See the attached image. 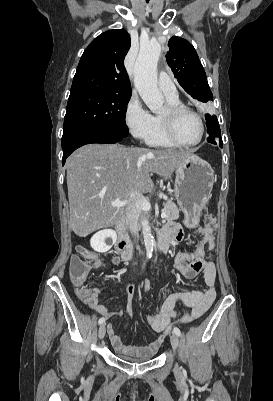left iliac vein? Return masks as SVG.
Segmentation results:
<instances>
[{"mask_svg": "<svg viewBox=\"0 0 273 401\" xmlns=\"http://www.w3.org/2000/svg\"><path fill=\"white\" fill-rule=\"evenodd\" d=\"M170 339H171V344H172V346H173V349H174V351H176L177 348H178V346H179V338H178V336H177L176 334H171ZM179 371H180V369H179V367L176 365V367H175V372L178 373Z\"/></svg>", "mask_w": 273, "mask_h": 401, "instance_id": "4c4485c4", "label": "left iliac vein"}]
</instances>
